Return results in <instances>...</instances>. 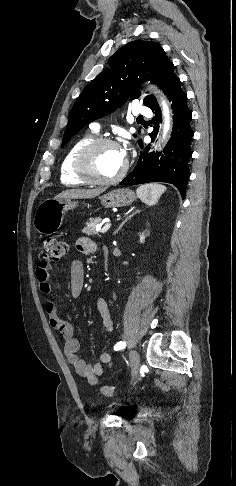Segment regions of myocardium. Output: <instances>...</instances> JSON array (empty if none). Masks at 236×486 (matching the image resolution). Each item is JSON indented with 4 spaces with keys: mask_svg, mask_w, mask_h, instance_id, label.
I'll return each mask as SVG.
<instances>
[{
    "mask_svg": "<svg viewBox=\"0 0 236 486\" xmlns=\"http://www.w3.org/2000/svg\"><path fill=\"white\" fill-rule=\"evenodd\" d=\"M115 146L121 149L119 143L106 137L94 138L86 143L77 153L74 160L75 174L88 184L110 185L122 180L128 171V162L125 160L122 170L114 177L101 178L97 176L91 167V158L93 153L101 146Z\"/></svg>",
    "mask_w": 236,
    "mask_h": 486,
    "instance_id": "f54148a6",
    "label": "myocardium"
}]
</instances>
